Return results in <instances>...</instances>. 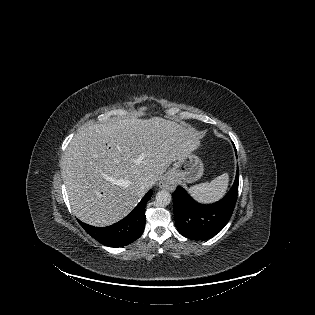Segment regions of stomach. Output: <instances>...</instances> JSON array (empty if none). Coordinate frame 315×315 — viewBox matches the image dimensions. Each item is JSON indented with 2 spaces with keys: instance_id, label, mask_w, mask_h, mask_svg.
<instances>
[{
  "instance_id": "stomach-1",
  "label": "stomach",
  "mask_w": 315,
  "mask_h": 315,
  "mask_svg": "<svg viewBox=\"0 0 315 315\" xmlns=\"http://www.w3.org/2000/svg\"><path fill=\"white\" fill-rule=\"evenodd\" d=\"M203 163L193 154L177 160L164 176L167 182L192 183L203 175Z\"/></svg>"
}]
</instances>
